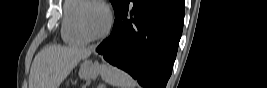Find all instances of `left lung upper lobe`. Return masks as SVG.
I'll return each instance as SVG.
<instances>
[{
    "instance_id": "1",
    "label": "left lung upper lobe",
    "mask_w": 267,
    "mask_h": 88,
    "mask_svg": "<svg viewBox=\"0 0 267 88\" xmlns=\"http://www.w3.org/2000/svg\"><path fill=\"white\" fill-rule=\"evenodd\" d=\"M110 1L114 8L115 14H117V12L119 11V9L122 7V5L124 4L126 0H110Z\"/></svg>"
}]
</instances>
